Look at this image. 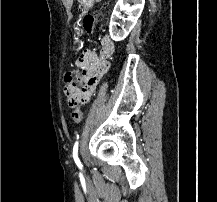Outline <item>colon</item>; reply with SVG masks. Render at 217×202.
<instances>
[{"instance_id":"1","label":"colon","mask_w":217,"mask_h":202,"mask_svg":"<svg viewBox=\"0 0 217 202\" xmlns=\"http://www.w3.org/2000/svg\"><path fill=\"white\" fill-rule=\"evenodd\" d=\"M100 15L98 11H93L86 13L82 18V27L85 32L90 35L94 30L95 19ZM96 72V71H95ZM82 74H88L87 71H70L66 76V85L63 88V92L67 97V101L69 106L73 105L77 99H81L85 102L88 96H81L83 94L82 90H78L81 87V82L83 79L81 78ZM85 88V87H81ZM74 114L72 115V120L79 122L82 120V113L80 110H73Z\"/></svg>"}]
</instances>
